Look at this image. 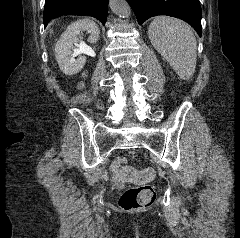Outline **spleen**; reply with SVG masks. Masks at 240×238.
I'll return each mask as SVG.
<instances>
[{
    "mask_svg": "<svg viewBox=\"0 0 240 238\" xmlns=\"http://www.w3.org/2000/svg\"><path fill=\"white\" fill-rule=\"evenodd\" d=\"M154 48L181 79H190L196 68L197 42L189 26L178 19L156 17L148 28Z\"/></svg>",
    "mask_w": 240,
    "mask_h": 238,
    "instance_id": "spleen-1",
    "label": "spleen"
}]
</instances>
